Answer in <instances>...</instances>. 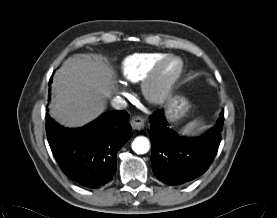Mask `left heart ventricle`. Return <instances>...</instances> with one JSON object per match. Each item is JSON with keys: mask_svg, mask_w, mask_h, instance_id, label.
<instances>
[{"mask_svg": "<svg viewBox=\"0 0 277 218\" xmlns=\"http://www.w3.org/2000/svg\"><path fill=\"white\" fill-rule=\"evenodd\" d=\"M176 64L174 62H168L162 69L161 79L165 80L169 78L175 71Z\"/></svg>", "mask_w": 277, "mask_h": 218, "instance_id": "1", "label": "left heart ventricle"}]
</instances>
